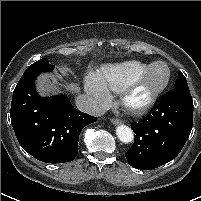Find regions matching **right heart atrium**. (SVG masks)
<instances>
[{
	"label": "right heart atrium",
	"instance_id": "obj_1",
	"mask_svg": "<svg viewBox=\"0 0 201 201\" xmlns=\"http://www.w3.org/2000/svg\"><path fill=\"white\" fill-rule=\"evenodd\" d=\"M87 102L91 111L98 113L105 108L110 99V91L98 78L97 74H89L85 82Z\"/></svg>",
	"mask_w": 201,
	"mask_h": 201
}]
</instances>
